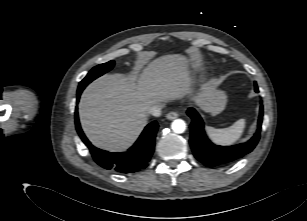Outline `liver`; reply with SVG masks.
<instances>
[{
	"label": "liver",
	"instance_id": "liver-1",
	"mask_svg": "<svg viewBox=\"0 0 307 221\" xmlns=\"http://www.w3.org/2000/svg\"><path fill=\"white\" fill-rule=\"evenodd\" d=\"M192 77L187 59L180 54L161 56L134 78L107 74L89 84L81 95L79 118L93 145L108 151L131 146L148 122L153 105L181 98L191 92ZM216 83H205L193 97L210 111Z\"/></svg>",
	"mask_w": 307,
	"mask_h": 221
}]
</instances>
